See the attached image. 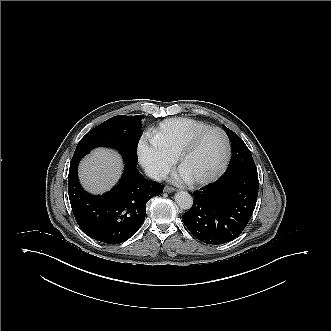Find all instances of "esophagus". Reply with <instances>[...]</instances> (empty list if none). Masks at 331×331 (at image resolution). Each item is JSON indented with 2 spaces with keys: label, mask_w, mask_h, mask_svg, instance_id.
Here are the masks:
<instances>
[{
  "label": "esophagus",
  "mask_w": 331,
  "mask_h": 331,
  "mask_svg": "<svg viewBox=\"0 0 331 331\" xmlns=\"http://www.w3.org/2000/svg\"><path fill=\"white\" fill-rule=\"evenodd\" d=\"M164 191L170 193L176 191V188L167 185L164 187Z\"/></svg>",
  "instance_id": "1"
}]
</instances>
